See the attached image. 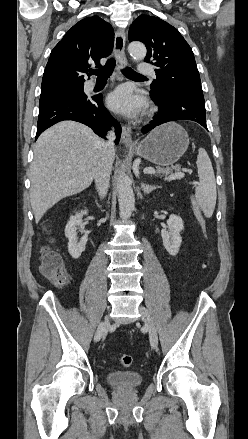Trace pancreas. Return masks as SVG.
<instances>
[{
    "instance_id": "pancreas-1",
    "label": "pancreas",
    "mask_w": 248,
    "mask_h": 439,
    "mask_svg": "<svg viewBox=\"0 0 248 439\" xmlns=\"http://www.w3.org/2000/svg\"><path fill=\"white\" fill-rule=\"evenodd\" d=\"M180 166L179 165H176V166H173V167H171V168H161V167H157V172L159 173V174H163V175H165V176H168L169 175V177L168 178H171V177H173V176H180L178 179H181L182 177H181V174H183L181 171H180ZM175 171V172H174Z\"/></svg>"
}]
</instances>
